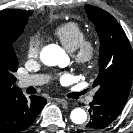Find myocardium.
Here are the masks:
<instances>
[{
	"mask_svg": "<svg viewBox=\"0 0 133 133\" xmlns=\"http://www.w3.org/2000/svg\"><path fill=\"white\" fill-rule=\"evenodd\" d=\"M98 49L94 41L85 39L72 51V58L76 65L81 68L92 66L97 59Z\"/></svg>",
	"mask_w": 133,
	"mask_h": 133,
	"instance_id": "myocardium-1",
	"label": "myocardium"
}]
</instances>
